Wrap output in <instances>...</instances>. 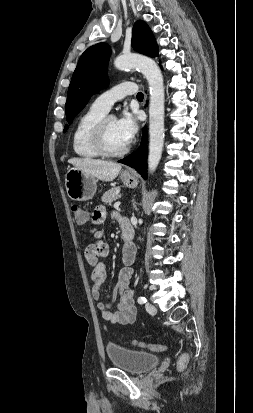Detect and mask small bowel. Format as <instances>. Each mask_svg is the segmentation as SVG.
Wrapping results in <instances>:
<instances>
[{"instance_id": "1", "label": "small bowel", "mask_w": 253, "mask_h": 413, "mask_svg": "<svg viewBox=\"0 0 253 413\" xmlns=\"http://www.w3.org/2000/svg\"><path fill=\"white\" fill-rule=\"evenodd\" d=\"M106 218V208L98 206L91 215L92 226L91 234L95 242L88 245L85 249V258L92 267V295L102 318L110 324L127 325L132 324L137 315V309L134 302V291L130 288L133 275L132 264L135 259V249L132 245H126L123 248L124 266L119 272L118 280L107 301H103L100 288L106 279V266L102 261L109 254V245L104 240L103 232L100 225ZM124 219H121V223ZM117 301V310L112 312L111 305Z\"/></svg>"}]
</instances>
